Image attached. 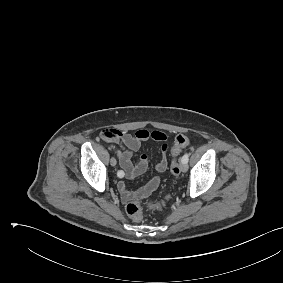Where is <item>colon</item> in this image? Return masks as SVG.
<instances>
[{"label": "colon", "mask_w": 283, "mask_h": 283, "mask_svg": "<svg viewBox=\"0 0 283 283\" xmlns=\"http://www.w3.org/2000/svg\"><path fill=\"white\" fill-rule=\"evenodd\" d=\"M189 145V139L183 134L176 136L174 144L171 148L172 162L170 166V172L172 175H178L180 173V167L177 161V156L181 150ZM170 196H166L163 200L158 202H148L147 208L152 211H160L165 208ZM126 213L134 220H140L142 218L141 203L138 199L130 200L125 207Z\"/></svg>", "instance_id": "5ec220e1"}]
</instances>
